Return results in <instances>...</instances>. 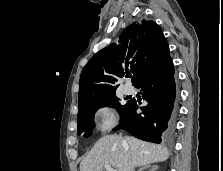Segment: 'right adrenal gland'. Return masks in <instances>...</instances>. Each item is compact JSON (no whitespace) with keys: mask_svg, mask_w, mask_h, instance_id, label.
<instances>
[{"mask_svg":"<svg viewBox=\"0 0 223 171\" xmlns=\"http://www.w3.org/2000/svg\"><path fill=\"white\" fill-rule=\"evenodd\" d=\"M147 169H149V171H156L158 169V167L156 165H147V166H143L138 171H144Z\"/></svg>","mask_w":223,"mask_h":171,"instance_id":"2a0ac1e0","label":"right adrenal gland"}]
</instances>
